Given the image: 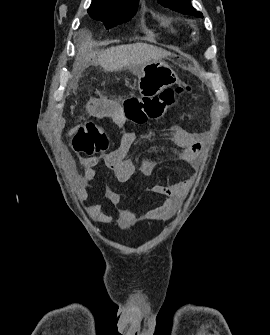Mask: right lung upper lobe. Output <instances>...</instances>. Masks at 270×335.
Masks as SVG:
<instances>
[{
	"instance_id": "cb5924a9",
	"label": "right lung upper lobe",
	"mask_w": 270,
	"mask_h": 335,
	"mask_svg": "<svg viewBox=\"0 0 270 335\" xmlns=\"http://www.w3.org/2000/svg\"><path fill=\"white\" fill-rule=\"evenodd\" d=\"M92 3L102 7H116L138 4L139 0H93Z\"/></svg>"
}]
</instances>
